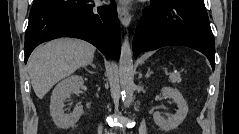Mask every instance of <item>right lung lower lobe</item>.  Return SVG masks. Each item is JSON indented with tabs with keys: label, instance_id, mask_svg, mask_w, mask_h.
Wrapping results in <instances>:
<instances>
[{
	"label": "right lung lower lobe",
	"instance_id": "right-lung-lower-lobe-1",
	"mask_svg": "<svg viewBox=\"0 0 239 134\" xmlns=\"http://www.w3.org/2000/svg\"><path fill=\"white\" fill-rule=\"evenodd\" d=\"M111 1L96 9L90 0H35L25 34V63L36 46L60 37L83 39L118 59L120 26Z\"/></svg>",
	"mask_w": 239,
	"mask_h": 134
}]
</instances>
